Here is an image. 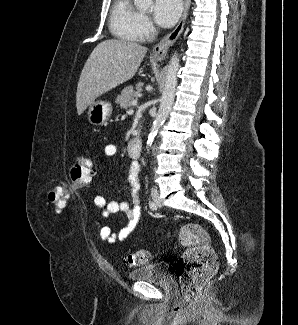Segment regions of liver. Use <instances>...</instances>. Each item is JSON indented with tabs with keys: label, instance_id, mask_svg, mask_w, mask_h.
<instances>
[{
	"label": "liver",
	"instance_id": "6515ba94",
	"mask_svg": "<svg viewBox=\"0 0 298 325\" xmlns=\"http://www.w3.org/2000/svg\"><path fill=\"white\" fill-rule=\"evenodd\" d=\"M148 48L127 40H102L89 54L79 76L76 90L78 114L98 96L135 76Z\"/></svg>",
	"mask_w": 298,
	"mask_h": 325
}]
</instances>
